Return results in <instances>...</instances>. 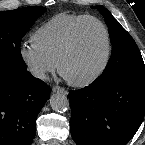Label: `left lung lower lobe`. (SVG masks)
Returning <instances> with one entry per match:
<instances>
[{"label": "left lung lower lobe", "mask_w": 145, "mask_h": 145, "mask_svg": "<svg viewBox=\"0 0 145 145\" xmlns=\"http://www.w3.org/2000/svg\"><path fill=\"white\" fill-rule=\"evenodd\" d=\"M77 145H125L145 114V73L114 78L69 93Z\"/></svg>", "instance_id": "1"}]
</instances>
